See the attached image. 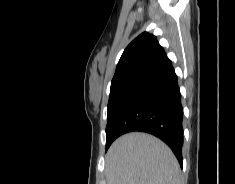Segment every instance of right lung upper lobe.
<instances>
[{
    "instance_id": "obj_1",
    "label": "right lung upper lobe",
    "mask_w": 235,
    "mask_h": 184,
    "mask_svg": "<svg viewBox=\"0 0 235 184\" xmlns=\"http://www.w3.org/2000/svg\"><path fill=\"white\" fill-rule=\"evenodd\" d=\"M165 59L167 55L156 37L147 32L140 34L124 50L112 79L110 91L135 83Z\"/></svg>"
}]
</instances>
